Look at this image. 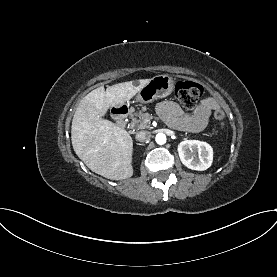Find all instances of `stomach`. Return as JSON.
<instances>
[{
	"mask_svg": "<svg viewBox=\"0 0 277 277\" xmlns=\"http://www.w3.org/2000/svg\"><path fill=\"white\" fill-rule=\"evenodd\" d=\"M174 88V81L168 75H157L138 92L136 101L147 103L155 98L169 95Z\"/></svg>",
	"mask_w": 277,
	"mask_h": 277,
	"instance_id": "0dacf381",
	"label": "stomach"
}]
</instances>
